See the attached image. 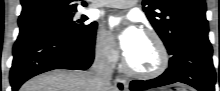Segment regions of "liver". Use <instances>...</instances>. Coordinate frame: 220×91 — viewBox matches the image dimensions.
<instances>
[{
  "label": "liver",
  "mask_w": 220,
  "mask_h": 91,
  "mask_svg": "<svg viewBox=\"0 0 220 91\" xmlns=\"http://www.w3.org/2000/svg\"><path fill=\"white\" fill-rule=\"evenodd\" d=\"M88 72L53 70L38 75L20 88V91H94ZM106 91H115L110 86Z\"/></svg>",
  "instance_id": "obj_1"
}]
</instances>
